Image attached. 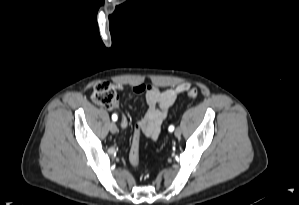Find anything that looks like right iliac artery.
<instances>
[{
  "instance_id": "82829eb1",
  "label": "right iliac artery",
  "mask_w": 299,
  "mask_h": 205,
  "mask_svg": "<svg viewBox=\"0 0 299 205\" xmlns=\"http://www.w3.org/2000/svg\"><path fill=\"white\" fill-rule=\"evenodd\" d=\"M112 120H113V121H116V120H117V115H116V114H113V115H112Z\"/></svg>"
}]
</instances>
